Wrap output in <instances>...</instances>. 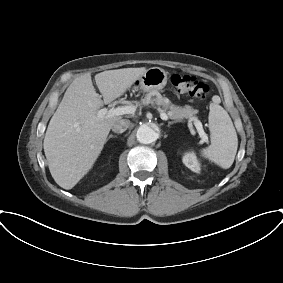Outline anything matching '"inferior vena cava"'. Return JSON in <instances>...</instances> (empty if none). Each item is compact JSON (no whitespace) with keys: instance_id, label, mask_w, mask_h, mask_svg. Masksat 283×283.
Listing matches in <instances>:
<instances>
[{"instance_id":"602c4592","label":"inferior vena cava","mask_w":283,"mask_h":283,"mask_svg":"<svg viewBox=\"0 0 283 283\" xmlns=\"http://www.w3.org/2000/svg\"><path fill=\"white\" fill-rule=\"evenodd\" d=\"M130 126V121L127 119H120L112 126V131L114 133H123L127 130V128Z\"/></svg>"}]
</instances>
